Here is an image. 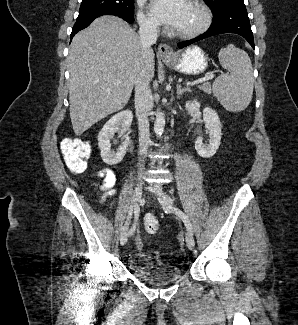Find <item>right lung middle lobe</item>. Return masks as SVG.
Masks as SVG:
<instances>
[{"mask_svg":"<svg viewBox=\"0 0 298 325\" xmlns=\"http://www.w3.org/2000/svg\"><path fill=\"white\" fill-rule=\"evenodd\" d=\"M108 10L133 16L134 0H82L78 17L91 16Z\"/></svg>","mask_w":298,"mask_h":325,"instance_id":"1","label":"right lung middle lobe"}]
</instances>
